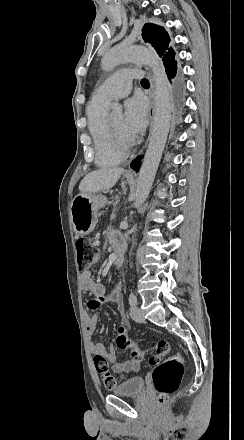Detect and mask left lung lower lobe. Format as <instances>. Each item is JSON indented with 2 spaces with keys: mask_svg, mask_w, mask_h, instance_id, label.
Returning <instances> with one entry per match:
<instances>
[{
  "mask_svg": "<svg viewBox=\"0 0 244 440\" xmlns=\"http://www.w3.org/2000/svg\"><path fill=\"white\" fill-rule=\"evenodd\" d=\"M165 70L171 83V101L173 108L172 128L173 135L175 136L183 117L186 91L185 82L182 71H177V62L175 60L165 65Z\"/></svg>",
  "mask_w": 244,
  "mask_h": 440,
  "instance_id": "obj_1",
  "label": "left lung lower lobe"
}]
</instances>
